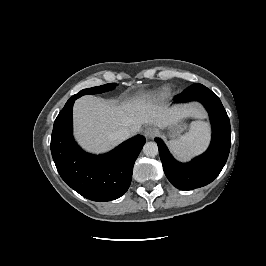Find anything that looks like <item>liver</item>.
Masks as SVG:
<instances>
[{
  "mask_svg": "<svg viewBox=\"0 0 266 266\" xmlns=\"http://www.w3.org/2000/svg\"><path fill=\"white\" fill-rule=\"evenodd\" d=\"M201 115V111L193 106L168 109L145 99L117 106L102 98L84 96L74 105L75 134L85 149L98 153L120 142L116 133L122 128L136 134L143 124L165 128L183 117Z\"/></svg>",
  "mask_w": 266,
  "mask_h": 266,
  "instance_id": "1",
  "label": "liver"
}]
</instances>
